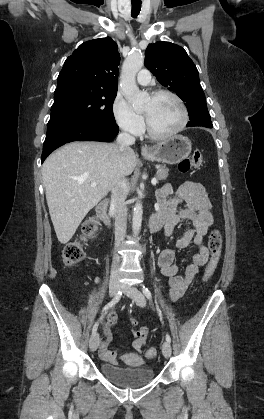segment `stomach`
I'll return each instance as SVG.
<instances>
[{
	"instance_id": "0dacf381",
	"label": "stomach",
	"mask_w": 264,
	"mask_h": 419,
	"mask_svg": "<svg viewBox=\"0 0 264 419\" xmlns=\"http://www.w3.org/2000/svg\"><path fill=\"white\" fill-rule=\"evenodd\" d=\"M191 149V141L187 137L175 135L160 142L153 147L150 154H144L143 156L151 161L177 164L190 154Z\"/></svg>"
}]
</instances>
